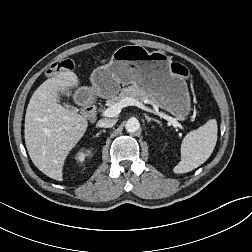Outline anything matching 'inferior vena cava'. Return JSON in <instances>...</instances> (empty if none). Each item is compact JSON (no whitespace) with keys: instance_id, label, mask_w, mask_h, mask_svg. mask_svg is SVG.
Returning <instances> with one entry per match:
<instances>
[{"instance_id":"obj_1","label":"inferior vena cava","mask_w":252,"mask_h":252,"mask_svg":"<svg viewBox=\"0 0 252 252\" xmlns=\"http://www.w3.org/2000/svg\"><path fill=\"white\" fill-rule=\"evenodd\" d=\"M116 120L115 119H101L99 120V122L97 123L98 127H103V128H111L116 124Z\"/></svg>"}]
</instances>
